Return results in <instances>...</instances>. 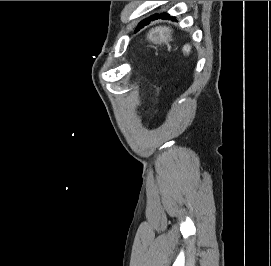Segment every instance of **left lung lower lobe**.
Instances as JSON below:
<instances>
[{
	"label": "left lung lower lobe",
	"mask_w": 271,
	"mask_h": 266,
	"mask_svg": "<svg viewBox=\"0 0 271 266\" xmlns=\"http://www.w3.org/2000/svg\"><path fill=\"white\" fill-rule=\"evenodd\" d=\"M170 15L167 13H162V14H155L151 16L150 18H147L143 20L137 27L136 31L139 30L140 28L144 27L145 25L149 24L150 21L163 18V19H169ZM173 20H175V17H172Z\"/></svg>",
	"instance_id": "0a47b994"
}]
</instances>
